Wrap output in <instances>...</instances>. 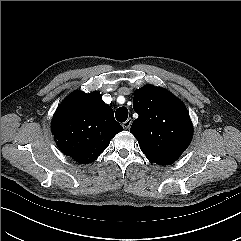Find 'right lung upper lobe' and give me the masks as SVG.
<instances>
[{"mask_svg": "<svg viewBox=\"0 0 241 241\" xmlns=\"http://www.w3.org/2000/svg\"><path fill=\"white\" fill-rule=\"evenodd\" d=\"M51 128L60 150L81 164L93 162L123 130L100 93L80 91L70 94L57 108Z\"/></svg>", "mask_w": 241, "mask_h": 241, "instance_id": "right-lung-upper-lobe-1", "label": "right lung upper lobe"}]
</instances>
